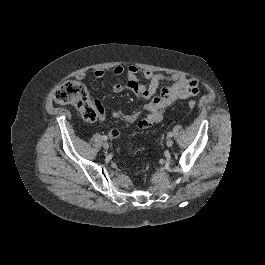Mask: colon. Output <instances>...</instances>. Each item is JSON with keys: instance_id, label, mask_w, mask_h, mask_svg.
<instances>
[{"instance_id": "1", "label": "colon", "mask_w": 265, "mask_h": 265, "mask_svg": "<svg viewBox=\"0 0 265 265\" xmlns=\"http://www.w3.org/2000/svg\"><path fill=\"white\" fill-rule=\"evenodd\" d=\"M55 100L60 104L74 106L82 118L86 121L93 122L100 118L102 109L100 105L91 100L85 86L78 81H67L61 84L54 92ZM195 101H189L188 107L194 108ZM145 126V124H142Z\"/></svg>"}]
</instances>
